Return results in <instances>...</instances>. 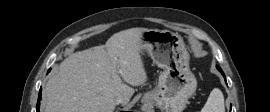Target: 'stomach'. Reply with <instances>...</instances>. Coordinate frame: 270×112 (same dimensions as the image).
I'll return each instance as SVG.
<instances>
[{
	"label": "stomach",
	"mask_w": 270,
	"mask_h": 112,
	"mask_svg": "<svg viewBox=\"0 0 270 112\" xmlns=\"http://www.w3.org/2000/svg\"><path fill=\"white\" fill-rule=\"evenodd\" d=\"M139 48L163 69L158 86L145 93L142 101L163 112H182L197 88L196 78L189 68L190 55L182 37L168 30L148 29L140 37Z\"/></svg>",
	"instance_id": "obj_1"
}]
</instances>
